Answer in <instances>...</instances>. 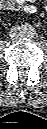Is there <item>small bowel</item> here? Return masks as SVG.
I'll return each instance as SVG.
<instances>
[{"label": "small bowel", "mask_w": 47, "mask_h": 129, "mask_svg": "<svg viewBox=\"0 0 47 129\" xmlns=\"http://www.w3.org/2000/svg\"><path fill=\"white\" fill-rule=\"evenodd\" d=\"M36 0H2L1 7L6 10L18 9L26 13L32 14L37 11L34 4Z\"/></svg>", "instance_id": "c3829d8e"}]
</instances>
